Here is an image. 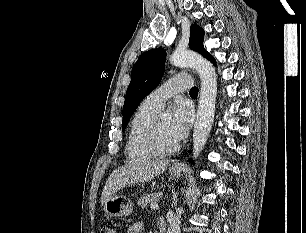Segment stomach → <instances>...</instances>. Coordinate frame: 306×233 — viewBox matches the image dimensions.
Returning <instances> with one entry per match:
<instances>
[{"label":"stomach","mask_w":306,"mask_h":233,"mask_svg":"<svg viewBox=\"0 0 306 233\" xmlns=\"http://www.w3.org/2000/svg\"><path fill=\"white\" fill-rule=\"evenodd\" d=\"M169 173L172 177H180L182 175V170L170 169ZM104 211L112 217L129 216L133 211V203L126 196L112 195L104 203Z\"/></svg>","instance_id":"0dacf381"}]
</instances>
